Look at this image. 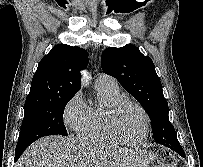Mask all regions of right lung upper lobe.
Listing matches in <instances>:
<instances>
[{
  "label": "right lung upper lobe",
  "instance_id": "obj_1",
  "mask_svg": "<svg viewBox=\"0 0 203 167\" xmlns=\"http://www.w3.org/2000/svg\"><path fill=\"white\" fill-rule=\"evenodd\" d=\"M87 62L88 53L83 48L55 45L41 59L25 103L74 96L81 88L80 71Z\"/></svg>",
  "mask_w": 203,
  "mask_h": 167
}]
</instances>
